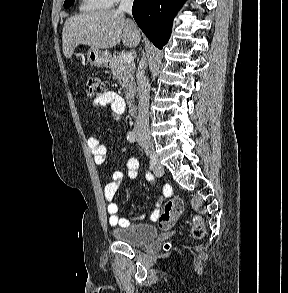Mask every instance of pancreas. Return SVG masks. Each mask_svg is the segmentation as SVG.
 Wrapping results in <instances>:
<instances>
[{
  "label": "pancreas",
  "instance_id": "cf45deb5",
  "mask_svg": "<svg viewBox=\"0 0 288 293\" xmlns=\"http://www.w3.org/2000/svg\"><path fill=\"white\" fill-rule=\"evenodd\" d=\"M121 53L113 54L110 61V68L113 77L117 79L120 85L124 88L125 99L131 101L136 93V83L133 77L135 64L133 62H125L122 59Z\"/></svg>",
  "mask_w": 288,
  "mask_h": 293
}]
</instances>
